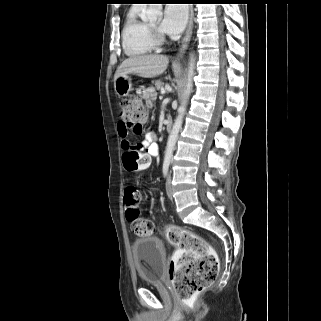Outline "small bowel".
I'll list each match as a JSON object with an SVG mask.
<instances>
[{"label":"small bowel","instance_id":"small-bowel-1","mask_svg":"<svg viewBox=\"0 0 321 321\" xmlns=\"http://www.w3.org/2000/svg\"><path fill=\"white\" fill-rule=\"evenodd\" d=\"M136 92L138 94L143 95L147 102L149 103L151 102L152 96L149 94V92L147 91L143 92V89L141 87H138L136 89ZM129 133H130V129L127 127V125H125L123 122H120L118 124V134L121 141V147L124 152L123 153L124 157L128 153L132 152L133 150L145 151L144 154L149 158V160L151 159V157H154L158 154V147L156 144L157 135L154 131L152 130L146 131L144 134V139L142 140L141 143H139L136 146H133L129 142L128 140Z\"/></svg>","mask_w":321,"mask_h":321}]
</instances>
